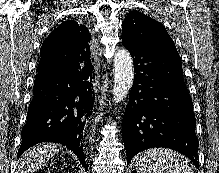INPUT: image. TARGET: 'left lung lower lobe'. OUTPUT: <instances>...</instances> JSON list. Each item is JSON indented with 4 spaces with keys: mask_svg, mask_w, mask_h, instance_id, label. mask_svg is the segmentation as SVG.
Here are the masks:
<instances>
[{
    "mask_svg": "<svg viewBox=\"0 0 219 173\" xmlns=\"http://www.w3.org/2000/svg\"><path fill=\"white\" fill-rule=\"evenodd\" d=\"M134 60V83L122 120L127 163L148 148L166 147L199 168L193 103L177 50L123 43Z\"/></svg>",
    "mask_w": 219,
    "mask_h": 173,
    "instance_id": "obj_1",
    "label": "left lung lower lobe"
}]
</instances>
